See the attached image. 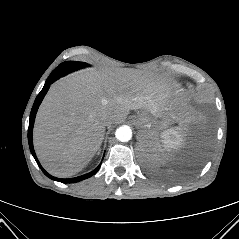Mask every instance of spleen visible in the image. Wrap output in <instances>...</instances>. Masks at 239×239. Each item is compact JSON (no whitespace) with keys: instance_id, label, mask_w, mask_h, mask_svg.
Segmentation results:
<instances>
[{"instance_id":"spleen-1","label":"spleen","mask_w":239,"mask_h":239,"mask_svg":"<svg viewBox=\"0 0 239 239\" xmlns=\"http://www.w3.org/2000/svg\"><path fill=\"white\" fill-rule=\"evenodd\" d=\"M161 146L167 150L171 151L172 149H178L182 146L184 142V135L182 129L179 128H170L163 131L160 134Z\"/></svg>"}]
</instances>
